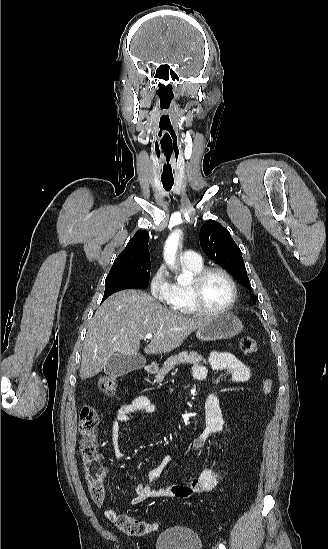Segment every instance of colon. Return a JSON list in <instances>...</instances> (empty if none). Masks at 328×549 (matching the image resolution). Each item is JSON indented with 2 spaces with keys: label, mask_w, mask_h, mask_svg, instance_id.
I'll use <instances>...</instances> for the list:
<instances>
[{
  "label": "colon",
  "mask_w": 328,
  "mask_h": 549,
  "mask_svg": "<svg viewBox=\"0 0 328 549\" xmlns=\"http://www.w3.org/2000/svg\"><path fill=\"white\" fill-rule=\"evenodd\" d=\"M240 349L245 354H254L258 350L257 341L244 335L240 338ZM272 380L265 379L262 384V392L268 395L272 390ZM98 388L106 395H113L117 390V380L114 376L103 375L98 380ZM99 425V415L91 406L82 407L79 414L80 455L83 462L85 479L89 492L96 503H102L105 499L104 478L105 470L102 468L97 451L96 433ZM107 517L115 521L117 527L123 532L141 536L157 529L155 523H149L132 518L128 515L109 512Z\"/></svg>",
  "instance_id": "1"
}]
</instances>
